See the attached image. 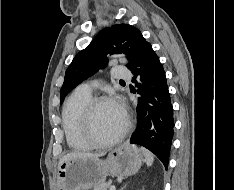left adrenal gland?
Returning a JSON list of instances; mask_svg holds the SVG:
<instances>
[{"instance_id":"1","label":"left adrenal gland","mask_w":234,"mask_h":190,"mask_svg":"<svg viewBox=\"0 0 234 190\" xmlns=\"http://www.w3.org/2000/svg\"><path fill=\"white\" fill-rule=\"evenodd\" d=\"M126 187V185L124 187H122L120 190H123Z\"/></svg>"}]
</instances>
